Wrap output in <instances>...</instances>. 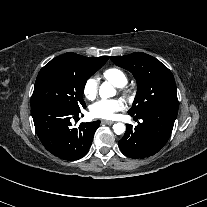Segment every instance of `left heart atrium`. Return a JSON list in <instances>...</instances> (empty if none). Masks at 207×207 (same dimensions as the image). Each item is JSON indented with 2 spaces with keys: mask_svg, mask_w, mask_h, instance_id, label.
<instances>
[{
  "mask_svg": "<svg viewBox=\"0 0 207 207\" xmlns=\"http://www.w3.org/2000/svg\"><path fill=\"white\" fill-rule=\"evenodd\" d=\"M124 108L120 100H100L91 106L90 113L93 117L111 119Z\"/></svg>",
  "mask_w": 207,
  "mask_h": 207,
  "instance_id": "left-heart-atrium-1",
  "label": "left heart atrium"
}]
</instances>
